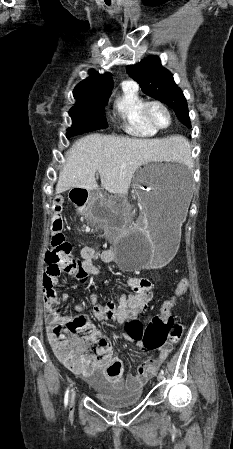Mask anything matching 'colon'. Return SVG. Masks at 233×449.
I'll return each mask as SVG.
<instances>
[{"label": "colon", "instance_id": "obj_1", "mask_svg": "<svg viewBox=\"0 0 233 449\" xmlns=\"http://www.w3.org/2000/svg\"><path fill=\"white\" fill-rule=\"evenodd\" d=\"M60 202H53L54 215L51 220V233L49 245L46 252L48 264H59L62 267H75L78 260L72 253L71 245L66 241L63 234V219L59 214ZM189 279L180 277L176 281L174 295L166 300L160 312L150 319L145 330L136 321H130L129 329L123 330V337L130 338L131 343H141L145 351L158 349H170L172 343H177L182 335L181 325L171 314L176 299L184 296L189 290ZM47 317L50 323L49 337L58 357L72 369H79L83 360L79 359L68 344L72 333H77V345L80 351L89 352L93 349L96 359L107 363L104 357L111 348L110 342L104 337H98L94 329L89 325L85 317L65 318L56 306L48 308ZM66 343V344H61Z\"/></svg>", "mask_w": 233, "mask_h": 449}]
</instances>
